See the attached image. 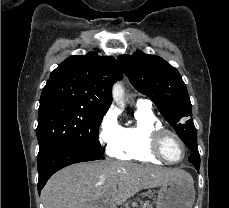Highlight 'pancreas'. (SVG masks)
<instances>
[{
	"instance_id": "1",
	"label": "pancreas",
	"mask_w": 229,
	"mask_h": 208,
	"mask_svg": "<svg viewBox=\"0 0 229 208\" xmlns=\"http://www.w3.org/2000/svg\"><path fill=\"white\" fill-rule=\"evenodd\" d=\"M142 208H153L152 204L150 202H145L144 206Z\"/></svg>"
}]
</instances>
